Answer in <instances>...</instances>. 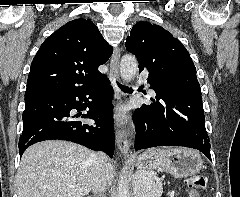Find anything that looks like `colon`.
Here are the masks:
<instances>
[{
    "label": "colon",
    "mask_w": 240,
    "mask_h": 197,
    "mask_svg": "<svg viewBox=\"0 0 240 197\" xmlns=\"http://www.w3.org/2000/svg\"><path fill=\"white\" fill-rule=\"evenodd\" d=\"M186 183L192 191H195L196 189H202L206 185V178L203 174L201 173H195L190 175L186 179Z\"/></svg>",
    "instance_id": "5ec220e1"
}]
</instances>
